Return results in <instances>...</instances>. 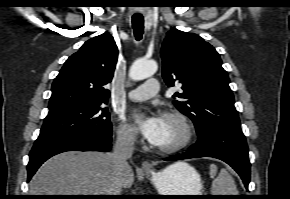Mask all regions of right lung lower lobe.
Wrapping results in <instances>:
<instances>
[{"instance_id":"obj_1","label":"right lung lower lobe","mask_w":290,"mask_h":199,"mask_svg":"<svg viewBox=\"0 0 290 199\" xmlns=\"http://www.w3.org/2000/svg\"><path fill=\"white\" fill-rule=\"evenodd\" d=\"M111 140L112 129L106 131L83 130L38 137L29 154L27 181H30L42 163L56 154L74 150L107 152L111 148Z\"/></svg>"}]
</instances>
